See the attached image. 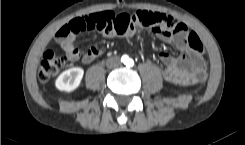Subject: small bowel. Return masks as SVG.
Wrapping results in <instances>:
<instances>
[{
	"instance_id": "c3829d8e",
	"label": "small bowel",
	"mask_w": 245,
	"mask_h": 145,
	"mask_svg": "<svg viewBox=\"0 0 245 145\" xmlns=\"http://www.w3.org/2000/svg\"><path fill=\"white\" fill-rule=\"evenodd\" d=\"M140 12L142 11H137L133 16L137 18ZM144 12L158 13L161 16H167L159 12ZM95 15L99 14L78 17L80 24L86 26L88 16ZM102 15H104L108 20L111 21L114 20L119 14L115 12H107L103 13ZM91 30L99 31L96 28H92ZM99 32L103 36H112L114 34L113 30H105ZM154 34L157 39L166 43L174 44V46L181 53L177 57H173L165 51L160 53V58L165 65L163 76L168 82L182 85H193L206 79V61L199 51H196L189 46L185 35H174L166 27H157L154 31ZM77 36L78 35H71L64 39H60L61 47L64 50L69 61L88 64L103 53V47L97 44L92 45L88 50L81 53L76 47Z\"/></svg>"
}]
</instances>
